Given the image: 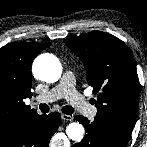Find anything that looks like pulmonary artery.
Masks as SVG:
<instances>
[{"label":"pulmonary artery","instance_id":"1","mask_svg":"<svg viewBox=\"0 0 147 147\" xmlns=\"http://www.w3.org/2000/svg\"><path fill=\"white\" fill-rule=\"evenodd\" d=\"M66 99L76 110L87 117L93 118L97 113V108L89 104L86 98L75 88V77L71 71H66L59 83L47 93L36 97L39 103H49L57 99Z\"/></svg>","mask_w":147,"mask_h":147}]
</instances>
